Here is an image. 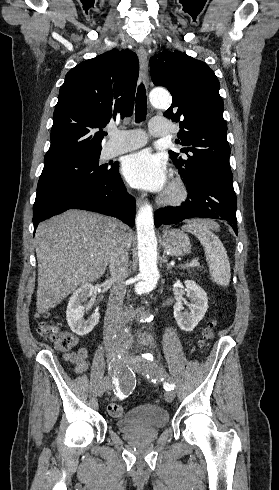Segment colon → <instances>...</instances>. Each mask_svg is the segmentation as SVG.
I'll list each match as a JSON object with an SVG mask.
<instances>
[{
  "label": "colon",
  "mask_w": 279,
  "mask_h": 490,
  "mask_svg": "<svg viewBox=\"0 0 279 490\" xmlns=\"http://www.w3.org/2000/svg\"><path fill=\"white\" fill-rule=\"evenodd\" d=\"M216 326L217 322L212 320L199 334L197 338V347L201 353L207 349L213 338ZM38 334L53 343L54 346L62 352H69L70 347H78V342L73 334L61 331L59 327L51 321L42 322L38 327ZM108 412L112 417H121L125 412V407L121 404H111L108 407Z\"/></svg>",
  "instance_id": "1"
}]
</instances>
